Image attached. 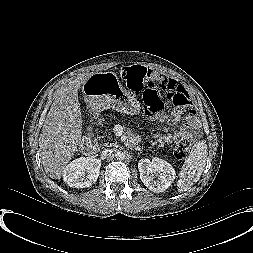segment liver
Returning <instances> with one entry per match:
<instances>
[{
    "label": "liver",
    "mask_w": 253,
    "mask_h": 253,
    "mask_svg": "<svg viewBox=\"0 0 253 253\" xmlns=\"http://www.w3.org/2000/svg\"><path fill=\"white\" fill-rule=\"evenodd\" d=\"M92 74H82L59 87L39 136L40 158L45 172L60 179L82 139L78 90Z\"/></svg>",
    "instance_id": "liver-1"
}]
</instances>
